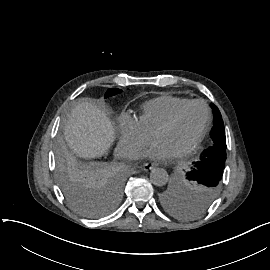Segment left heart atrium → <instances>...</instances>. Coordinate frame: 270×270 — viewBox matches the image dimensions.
I'll return each mask as SVG.
<instances>
[{"label":"left heart atrium","instance_id":"obj_1","mask_svg":"<svg viewBox=\"0 0 270 270\" xmlns=\"http://www.w3.org/2000/svg\"><path fill=\"white\" fill-rule=\"evenodd\" d=\"M176 156L174 150L165 142L155 140L149 148L142 153L141 158L151 161L165 163L169 162Z\"/></svg>","mask_w":270,"mask_h":270}]
</instances>
